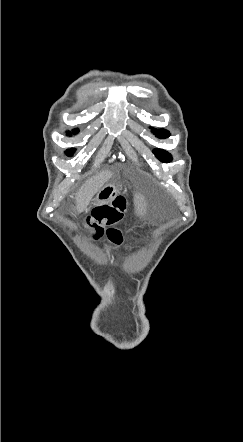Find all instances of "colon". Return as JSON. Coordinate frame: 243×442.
Here are the masks:
<instances>
[{"mask_svg": "<svg viewBox=\"0 0 243 442\" xmlns=\"http://www.w3.org/2000/svg\"><path fill=\"white\" fill-rule=\"evenodd\" d=\"M126 209V198L117 195L110 202L97 205L85 219V225L93 230L95 236L106 235L113 244L120 245L123 236L117 226L123 222Z\"/></svg>", "mask_w": 243, "mask_h": 442, "instance_id": "5ec220e1", "label": "colon"}]
</instances>
